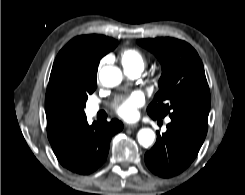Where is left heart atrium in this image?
I'll use <instances>...</instances> for the list:
<instances>
[{"mask_svg": "<svg viewBox=\"0 0 245 195\" xmlns=\"http://www.w3.org/2000/svg\"><path fill=\"white\" fill-rule=\"evenodd\" d=\"M143 102V95L140 92H134L116 106V112L124 119H133Z\"/></svg>", "mask_w": 245, "mask_h": 195, "instance_id": "1", "label": "left heart atrium"}]
</instances>
